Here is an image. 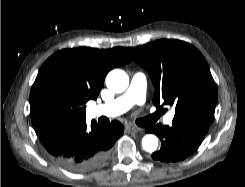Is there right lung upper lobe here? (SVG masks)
<instances>
[{
    "label": "right lung upper lobe",
    "instance_id": "1",
    "mask_svg": "<svg viewBox=\"0 0 245 187\" xmlns=\"http://www.w3.org/2000/svg\"><path fill=\"white\" fill-rule=\"evenodd\" d=\"M130 61L123 47L109 50L72 48L54 53L42 65L35 81L44 76L61 78L77 93L78 101L67 119L49 118L30 106L35 132L40 134L53 124L85 118L84 105L89 99H96L108 71Z\"/></svg>",
    "mask_w": 245,
    "mask_h": 187
}]
</instances>
